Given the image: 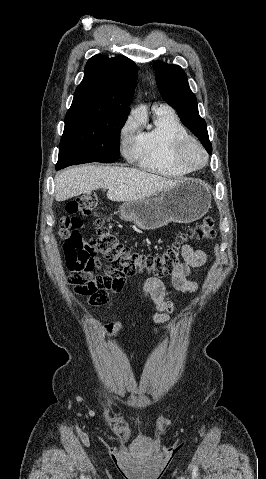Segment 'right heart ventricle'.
<instances>
[{
	"mask_svg": "<svg viewBox=\"0 0 266 479\" xmlns=\"http://www.w3.org/2000/svg\"><path fill=\"white\" fill-rule=\"evenodd\" d=\"M189 137L187 129L169 109H155L154 127L138 132L129 147V158L142 169L169 178L184 176L190 171L179 166L172 157L175 142Z\"/></svg>",
	"mask_w": 266,
	"mask_h": 479,
	"instance_id": "1",
	"label": "right heart ventricle"
}]
</instances>
